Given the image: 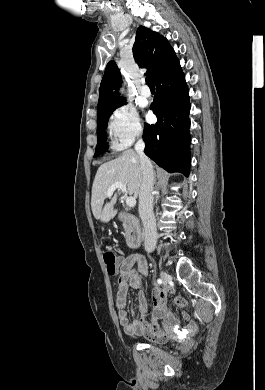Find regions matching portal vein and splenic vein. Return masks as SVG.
<instances>
[{
    "label": "portal vein and splenic vein",
    "mask_w": 265,
    "mask_h": 390,
    "mask_svg": "<svg viewBox=\"0 0 265 390\" xmlns=\"http://www.w3.org/2000/svg\"><path fill=\"white\" fill-rule=\"evenodd\" d=\"M116 189H119L123 193H125L126 192V185L122 182H116V183L112 184L106 193L107 197H111ZM125 201H126V205L128 207H134L136 205V198L135 197H132V196L127 197L125 199Z\"/></svg>",
    "instance_id": "portal-vein-and-splenic-vein-1"
}]
</instances>
